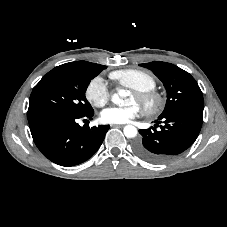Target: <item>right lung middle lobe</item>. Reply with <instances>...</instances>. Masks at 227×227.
Returning a JSON list of instances; mask_svg holds the SVG:
<instances>
[{
    "instance_id": "obj_1",
    "label": "right lung middle lobe",
    "mask_w": 227,
    "mask_h": 227,
    "mask_svg": "<svg viewBox=\"0 0 227 227\" xmlns=\"http://www.w3.org/2000/svg\"><path fill=\"white\" fill-rule=\"evenodd\" d=\"M105 68L86 61L55 67L33 88L27 118L41 113L84 115L93 111L85 92L90 79Z\"/></svg>"
}]
</instances>
